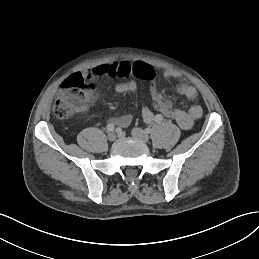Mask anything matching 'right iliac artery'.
<instances>
[{"instance_id":"right-iliac-artery-1","label":"right iliac artery","mask_w":259,"mask_h":259,"mask_svg":"<svg viewBox=\"0 0 259 259\" xmlns=\"http://www.w3.org/2000/svg\"><path fill=\"white\" fill-rule=\"evenodd\" d=\"M114 129H115L114 124L110 123V124L107 125V130H108L109 132L114 131Z\"/></svg>"}]
</instances>
